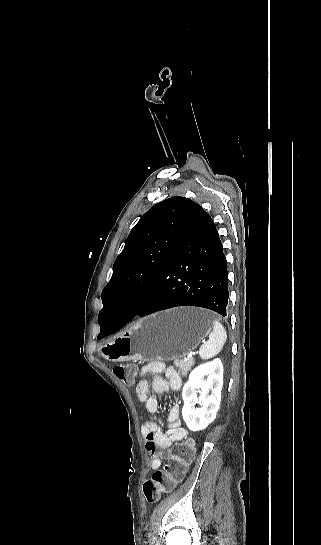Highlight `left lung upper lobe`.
<instances>
[{
  "mask_svg": "<svg viewBox=\"0 0 321 545\" xmlns=\"http://www.w3.org/2000/svg\"><path fill=\"white\" fill-rule=\"evenodd\" d=\"M198 204L175 196L151 207L129 233L101 294L100 334L112 311L133 312L150 295Z\"/></svg>",
  "mask_w": 321,
  "mask_h": 545,
  "instance_id": "1",
  "label": "left lung upper lobe"
}]
</instances>
